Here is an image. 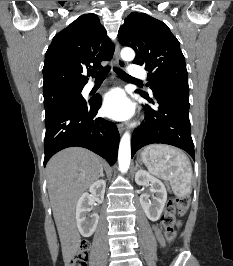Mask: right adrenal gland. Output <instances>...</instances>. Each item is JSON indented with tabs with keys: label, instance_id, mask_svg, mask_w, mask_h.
I'll list each match as a JSON object with an SVG mask.
<instances>
[{
	"label": "right adrenal gland",
	"instance_id": "1",
	"mask_svg": "<svg viewBox=\"0 0 233 266\" xmlns=\"http://www.w3.org/2000/svg\"><path fill=\"white\" fill-rule=\"evenodd\" d=\"M99 177H104L103 171L100 173Z\"/></svg>",
	"mask_w": 233,
	"mask_h": 266
}]
</instances>
